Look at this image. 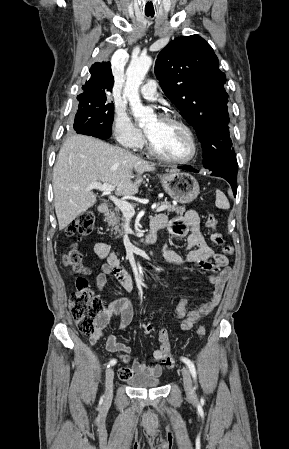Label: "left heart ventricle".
<instances>
[{"instance_id": "1", "label": "left heart ventricle", "mask_w": 289, "mask_h": 449, "mask_svg": "<svg viewBox=\"0 0 289 449\" xmlns=\"http://www.w3.org/2000/svg\"><path fill=\"white\" fill-rule=\"evenodd\" d=\"M145 131L160 153L172 158H186L190 155L191 143L181 127L153 118L145 126Z\"/></svg>"}]
</instances>
